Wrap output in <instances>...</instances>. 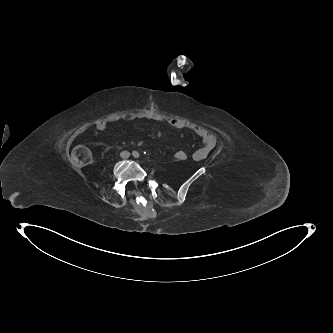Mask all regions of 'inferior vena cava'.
<instances>
[{"label":"inferior vena cava","mask_w":333,"mask_h":333,"mask_svg":"<svg viewBox=\"0 0 333 333\" xmlns=\"http://www.w3.org/2000/svg\"><path fill=\"white\" fill-rule=\"evenodd\" d=\"M129 155H130V154H129V152H124V155H123V157H124V158H128V157H129Z\"/></svg>","instance_id":"1"}]
</instances>
